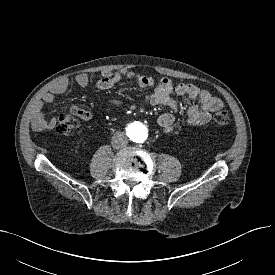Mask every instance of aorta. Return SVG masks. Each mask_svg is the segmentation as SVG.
<instances>
[{"label": "aorta", "mask_w": 275, "mask_h": 275, "mask_svg": "<svg viewBox=\"0 0 275 275\" xmlns=\"http://www.w3.org/2000/svg\"><path fill=\"white\" fill-rule=\"evenodd\" d=\"M147 130V126L141 122H134L127 128L131 139L137 143L143 142L146 139Z\"/></svg>", "instance_id": "1"}]
</instances>
